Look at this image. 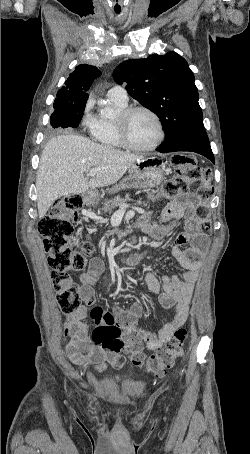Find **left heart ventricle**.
Instances as JSON below:
<instances>
[{
  "label": "left heart ventricle",
  "mask_w": 250,
  "mask_h": 454,
  "mask_svg": "<svg viewBox=\"0 0 250 454\" xmlns=\"http://www.w3.org/2000/svg\"><path fill=\"white\" fill-rule=\"evenodd\" d=\"M128 132L132 143L140 147L152 144L158 137L154 119L144 112H137L131 116Z\"/></svg>",
  "instance_id": "obj_1"
}]
</instances>
